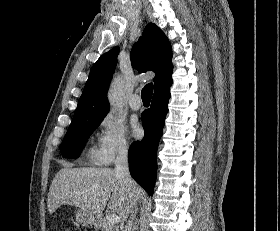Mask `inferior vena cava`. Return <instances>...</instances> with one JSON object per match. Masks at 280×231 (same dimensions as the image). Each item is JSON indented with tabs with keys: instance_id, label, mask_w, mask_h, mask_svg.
Wrapping results in <instances>:
<instances>
[{
	"instance_id": "602c4592",
	"label": "inferior vena cava",
	"mask_w": 280,
	"mask_h": 231,
	"mask_svg": "<svg viewBox=\"0 0 280 231\" xmlns=\"http://www.w3.org/2000/svg\"><path fill=\"white\" fill-rule=\"evenodd\" d=\"M127 155H128V145L126 141H120V143H118L114 171L116 175H120V177H125V181H128L129 185H136L135 181H133L129 173ZM137 201H138V197H134L133 199L134 209H131V217L127 225H125V229H123V231H134V223L132 219H134L136 213H138Z\"/></svg>"
}]
</instances>
